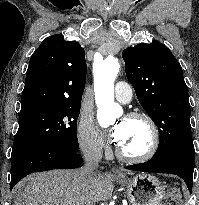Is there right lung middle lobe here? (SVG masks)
<instances>
[{
  "mask_svg": "<svg viewBox=\"0 0 199 205\" xmlns=\"http://www.w3.org/2000/svg\"><path fill=\"white\" fill-rule=\"evenodd\" d=\"M80 105H42L20 111L11 160L48 146L78 151L76 126Z\"/></svg>",
  "mask_w": 199,
  "mask_h": 205,
  "instance_id": "right-lung-middle-lobe-1",
  "label": "right lung middle lobe"
}]
</instances>
